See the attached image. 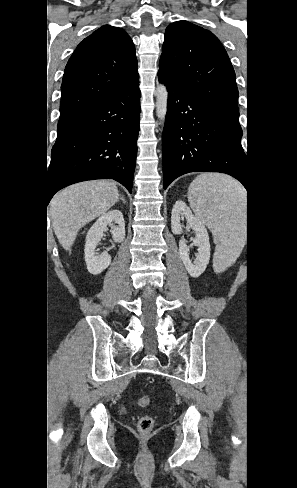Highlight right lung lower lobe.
<instances>
[{
	"instance_id": "1",
	"label": "right lung lower lobe",
	"mask_w": 297,
	"mask_h": 488,
	"mask_svg": "<svg viewBox=\"0 0 297 488\" xmlns=\"http://www.w3.org/2000/svg\"><path fill=\"white\" fill-rule=\"evenodd\" d=\"M139 77L72 117L59 121L48 168L46 203L60 189L114 179L131 193L140 120Z\"/></svg>"
}]
</instances>
